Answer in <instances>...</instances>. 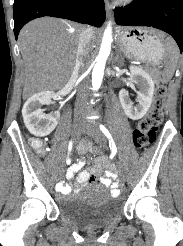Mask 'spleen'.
Here are the masks:
<instances>
[{"mask_svg":"<svg viewBox=\"0 0 183 246\" xmlns=\"http://www.w3.org/2000/svg\"><path fill=\"white\" fill-rule=\"evenodd\" d=\"M159 36L163 38L164 34H159ZM165 47L167 57L169 59V64L163 72V81L168 82L172 78L176 68V61L178 58V47L171 38H166Z\"/></svg>","mask_w":183,"mask_h":246,"instance_id":"1","label":"spleen"}]
</instances>
